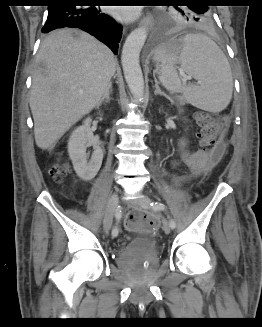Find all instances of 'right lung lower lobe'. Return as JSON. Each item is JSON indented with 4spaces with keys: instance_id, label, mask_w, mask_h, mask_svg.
Returning <instances> with one entry per match:
<instances>
[{
    "instance_id": "98d812e1",
    "label": "right lung lower lobe",
    "mask_w": 262,
    "mask_h": 327,
    "mask_svg": "<svg viewBox=\"0 0 262 327\" xmlns=\"http://www.w3.org/2000/svg\"><path fill=\"white\" fill-rule=\"evenodd\" d=\"M77 0H52L43 33L64 27L82 29L95 36L117 54L122 27L96 6H76Z\"/></svg>"
}]
</instances>
